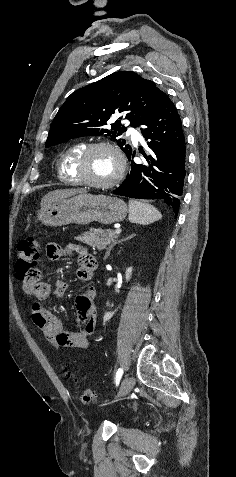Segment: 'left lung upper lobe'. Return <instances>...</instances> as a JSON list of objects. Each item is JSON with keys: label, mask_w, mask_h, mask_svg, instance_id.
I'll use <instances>...</instances> for the list:
<instances>
[{"label": "left lung upper lobe", "mask_w": 236, "mask_h": 477, "mask_svg": "<svg viewBox=\"0 0 236 477\" xmlns=\"http://www.w3.org/2000/svg\"><path fill=\"white\" fill-rule=\"evenodd\" d=\"M162 91L132 71H120L73 92L59 109L46 142V147L82 136L107 135L115 139L126 131L121 119L133 127L143 126L157 112ZM113 120L111 129L107 121ZM129 157L133 150L125 140H116Z\"/></svg>", "instance_id": "5c2ea615"}]
</instances>
